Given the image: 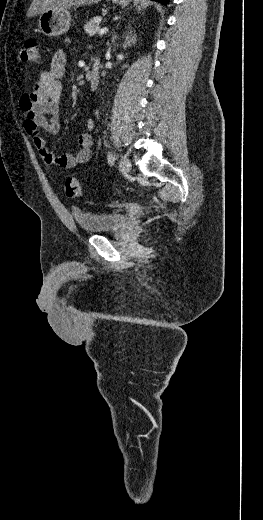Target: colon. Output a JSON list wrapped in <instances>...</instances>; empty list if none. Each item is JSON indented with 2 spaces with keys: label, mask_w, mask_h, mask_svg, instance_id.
I'll use <instances>...</instances> for the list:
<instances>
[{
  "label": "colon",
  "mask_w": 263,
  "mask_h": 520,
  "mask_svg": "<svg viewBox=\"0 0 263 520\" xmlns=\"http://www.w3.org/2000/svg\"><path fill=\"white\" fill-rule=\"evenodd\" d=\"M24 61L37 62L39 58L38 41L34 38L27 39L21 54ZM64 190L68 197L76 198L82 193L81 186L77 178L73 176L66 177L64 180Z\"/></svg>",
  "instance_id": "5ec220e1"
}]
</instances>
